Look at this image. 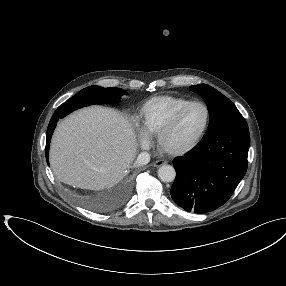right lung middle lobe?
Wrapping results in <instances>:
<instances>
[{
	"label": "right lung middle lobe",
	"instance_id": "obj_1",
	"mask_svg": "<svg viewBox=\"0 0 286 286\" xmlns=\"http://www.w3.org/2000/svg\"><path fill=\"white\" fill-rule=\"evenodd\" d=\"M126 94V91L119 88H103L100 86H89L82 89L78 94L71 97L64 104L60 105L55 113L61 118L70 112L91 104L109 103L117 105L120 96Z\"/></svg>",
	"mask_w": 286,
	"mask_h": 286
}]
</instances>
